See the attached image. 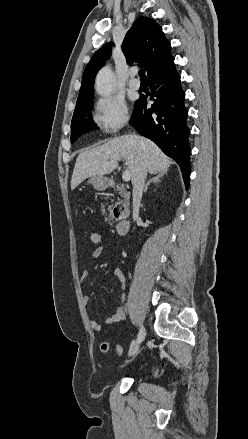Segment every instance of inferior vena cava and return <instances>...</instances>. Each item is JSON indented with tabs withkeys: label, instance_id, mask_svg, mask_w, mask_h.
<instances>
[{
	"label": "inferior vena cava",
	"instance_id": "1",
	"mask_svg": "<svg viewBox=\"0 0 248 439\" xmlns=\"http://www.w3.org/2000/svg\"><path fill=\"white\" fill-rule=\"evenodd\" d=\"M147 177V168L144 164L140 166L134 177L133 184V219L137 220L139 216V208L141 204L144 183Z\"/></svg>",
	"mask_w": 248,
	"mask_h": 439
}]
</instances>
